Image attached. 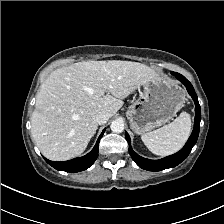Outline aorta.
Listing matches in <instances>:
<instances>
[{"mask_svg": "<svg viewBox=\"0 0 224 224\" xmlns=\"http://www.w3.org/2000/svg\"><path fill=\"white\" fill-rule=\"evenodd\" d=\"M110 128L114 133H121L124 130V122L120 119L112 121Z\"/></svg>", "mask_w": 224, "mask_h": 224, "instance_id": "aorta-1", "label": "aorta"}]
</instances>
